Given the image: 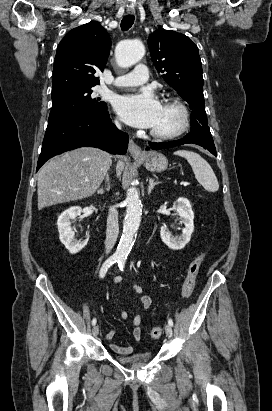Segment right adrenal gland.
<instances>
[{"instance_id": "obj_1", "label": "right adrenal gland", "mask_w": 272, "mask_h": 411, "mask_svg": "<svg viewBox=\"0 0 272 411\" xmlns=\"http://www.w3.org/2000/svg\"><path fill=\"white\" fill-rule=\"evenodd\" d=\"M105 182H106V184H107L106 191H109V190H110V182H109V176H108V174H106ZM104 192H105V191L103 190V188H100V189L97 191L98 194H104Z\"/></svg>"}]
</instances>
